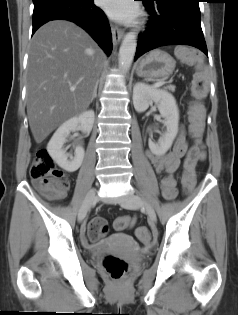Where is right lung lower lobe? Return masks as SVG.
I'll use <instances>...</instances> for the list:
<instances>
[{"instance_id":"right-lung-lower-lobe-1","label":"right lung lower lobe","mask_w":238,"mask_h":315,"mask_svg":"<svg viewBox=\"0 0 238 315\" xmlns=\"http://www.w3.org/2000/svg\"><path fill=\"white\" fill-rule=\"evenodd\" d=\"M33 30L48 21L69 20L86 30L98 45L110 55L112 34L104 12L93 0H33Z\"/></svg>"}]
</instances>
